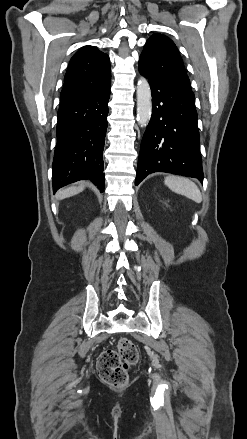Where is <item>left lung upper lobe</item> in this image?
<instances>
[{
  "label": "left lung upper lobe",
  "instance_id": "5c2ea615",
  "mask_svg": "<svg viewBox=\"0 0 247 439\" xmlns=\"http://www.w3.org/2000/svg\"><path fill=\"white\" fill-rule=\"evenodd\" d=\"M139 64L149 72L194 95L179 51L167 36L153 34L144 46Z\"/></svg>",
  "mask_w": 247,
  "mask_h": 439
}]
</instances>
